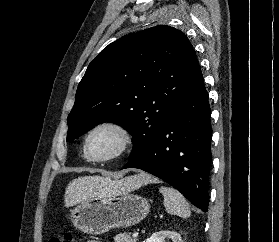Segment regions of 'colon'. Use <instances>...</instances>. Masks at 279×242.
Segmentation results:
<instances>
[{
  "mask_svg": "<svg viewBox=\"0 0 279 242\" xmlns=\"http://www.w3.org/2000/svg\"><path fill=\"white\" fill-rule=\"evenodd\" d=\"M48 242H74V238L71 232H66L51 237Z\"/></svg>",
  "mask_w": 279,
  "mask_h": 242,
  "instance_id": "colon-1",
  "label": "colon"
}]
</instances>
